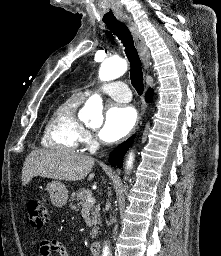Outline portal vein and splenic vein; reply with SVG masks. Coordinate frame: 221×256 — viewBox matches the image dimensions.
<instances>
[{
  "label": "portal vein and splenic vein",
  "instance_id": "18ae733b",
  "mask_svg": "<svg viewBox=\"0 0 221 256\" xmlns=\"http://www.w3.org/2000/svg\"><path fill=\"white\" fill-rule=\"evenodd\" d=\"M95 203V199L93 197H89L86 199L83 207H89L90 205L94 204Z\"/></svg>",
  "mask_w": 221,
  "mask_h": 256
}]
</instances>
